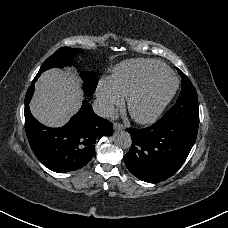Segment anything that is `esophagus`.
Returning a JSON list of instances; mask_svg holds the SVG:
<instances>
[{"mask_svg": "<svg viewBox=\"0 0 228 228\" xmlns=\"http://www.w3.org/2000/svg\"><path fill=\"white\" fill-rule=\"evenodd\" d=\"M113 128H114L115 131L125 129V127L122 124H120V123H115Z\"/></svg>", "mask_w": 228, "mask_h": 228, "instance_id": "1", "label": "esophagus"}]
</instances>
